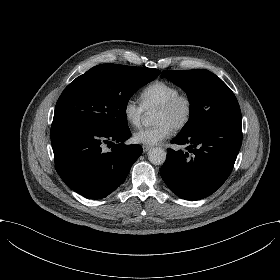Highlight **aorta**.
Masks as SVG:
<instances>
[{"label": "aorta", "mask_w": 280, "mask_h": 280, "mask_svg": "<svg viewBox=\"0 0 280 280\" xmlns=\"http://www.w3.org/2000/svg\"><path fill=\"white\" fill-rule=\"evenodd\" d=\"M154 122V115H149L142 119V125L145 127L152 126ZM148 159L153 165H162L166 160V152L160 147H154L148 152Z\"/></svg>", "instance_id": "762f6f07"}]
</instances>
